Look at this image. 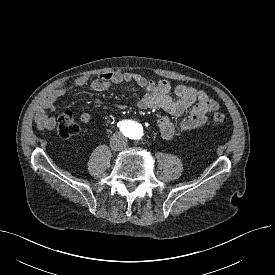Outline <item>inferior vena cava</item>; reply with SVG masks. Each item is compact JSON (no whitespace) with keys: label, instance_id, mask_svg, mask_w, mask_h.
Listing matches in <instances>:
<instances>
[{"label":"inferior vena cava","instance_id":"obj_1","mask_svg":"<svg viewBox=\"0 0 275 275\" xmlns=\"http://www.w3.org/2000/svg\"><path fill=\"white\" fill-rule=\"evenodd\" d=\"M127 146V138L121 133H116L111 139V147L113 150H122Z\"/></svg>","mask_w":275,"mask_h":275}]
</instances>
